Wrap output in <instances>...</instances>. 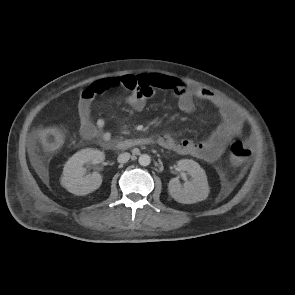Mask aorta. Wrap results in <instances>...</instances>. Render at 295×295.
Wrapping results in <instances>:
<instances>
[{
    "mask_svg": "<svg viewBox=\"0 0 295 295\" xmlns=\"http://www.w3.org/2000/svg\"><path fill=\"white\" fill-rule=\"evenodd\" d=\"M138 162L141 166H148L151 162V158L147 154L140 155Z\"/></svg>",
    "mask_w": 295,
    "mask_h": 295,
    "instance_id": "obj_1",
    "label": "aorta"
}]
</instances>
